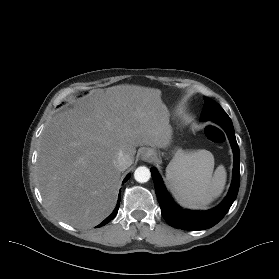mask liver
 <instances>
[{"label": "liver", "instance_id": "6515ba94", "mask_svg": "<svg viewBox=\"0 0 279 279\" xmlns=\"http://www.w3.org/2000/svg\"><path fill=\"white\" fill-rule=\"evenodd\" d=\"M159 89L118 85L96 91L46 124L36 178L47 210L78 229L99 224L113 210L121 171L114 160L136 147L166 148L172 129Z\"/></svg>", "mask_w": 279, "mask_h": 279}]
</instances>
